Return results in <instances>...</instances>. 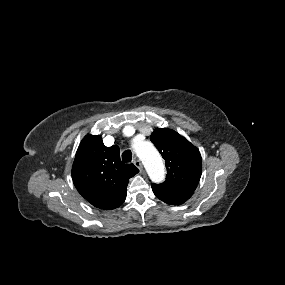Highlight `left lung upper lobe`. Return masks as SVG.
Returning a JSON list of instances; mask_svg holds the SVG:
<instances>
[{
  "label": "left lung upper lobe",
  "instance_id": "left-lung-upper-lobe-1",
  "mask_svg": "<svg viewBox=\"0 0 285 285\" xmlns=\"http://www.w3.org/2000/svg\"><path fill=\"white\" fill-rule=\"evenodd\" d=\"M165 159L166 180L152 184L162 188L194 192L202 171L199 150L177 132L167 128H156L150 137Z\"/></svg>",
  "mask_w": 285,
  "mask_h": 285
}]
</instances>
